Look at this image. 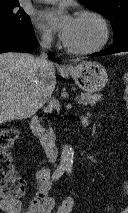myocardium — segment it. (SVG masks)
<instances>
[{
  "instance_id": "obj_1",
  "label": "myocardium",
  "mask_w": 128,
  "mask_h": 213,
  "mask_svg": "<svg viewBox=\"0 0 128 213\" xmlns=\"http://www.w3.org/2000/svg\"><path fill=\"white\" fill-rule=\"evenodd\" d=\"M84 17L93 18L99 23L102 30V37L96 45L84 49L72 48L66 44V49L69 53L78 55L92 54L102 50L109 41L110 27L103 15L93 10H81L77 13V18H84Z\"/></svg>"
}]
</instances>
